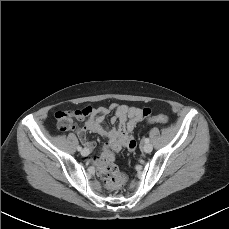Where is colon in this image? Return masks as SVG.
<instances>
[{"label": "colon", "mask_w": 229, "mask_h": 229, "mask_svg": "<svg viewBox=\"0 0 229 229\" xmlns=\"http://www.w3.org/2000/svg\"><path fill=\"white\" fill-rule=\"evenodd\" d=\"M142 117H149L151 110L149 108H142ZM59 128L62 131L75 128L74 119L76 115L74 112L60 113L59 116ZM150 122L166 123L168 117L163 114L155 115L149 118ZM100 176L104 180L106 186L112 191H118L122 189L127 181L126 175L121 172L114 163V155L112 151L106 150L102 155V166L100 170Z\"/></svg>", "instance_id": "1"}]
</instances>
